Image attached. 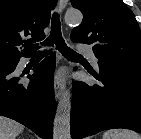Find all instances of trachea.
I'll return each mask as SVG.
<instances>
[{
  "mask_svg": "<svg viewBox=\"0 0 141 139\" xmlns=\"http://www.w3.org/2000/svg\"><path fill=\"white\" fill-rule=\"evenodd\" d=\"M43 44L46 46H51L53 44H56V47L58 48V50L65 57L82 58L80 54L73 51L65 43V40L63 39L62 34H61L60 20H59L58 13H54L52 16L50 36L43 42Z\"/></svg>",
  "mask_w": 141,
  "mask_h": 139,
  "instance_id": "trachea-1",
  "label": "trachea"
}]
</instances>
